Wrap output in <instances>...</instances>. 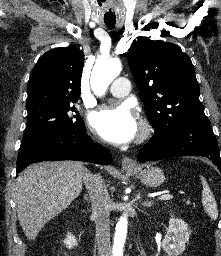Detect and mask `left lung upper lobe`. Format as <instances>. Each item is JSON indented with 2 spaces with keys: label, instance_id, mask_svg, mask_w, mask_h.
I'll use <instances>...</instances> for the list:
<instances>
[{
  "label": "left lung upper lobe",
  "instance_id": "5c2ea615",
  "mask_svg": "<svg viewBox=\"0 0 221 256\" xmlns=\"http://www.w3.org/2000/svg\"><path fill=\"white\" fill-rule=\"evenodd\" d=\"M128 64L155 132L208 120L192 62L179 46L140 39L129 50Z\"/></svg>",
  "mask_w": 221,
  "mask_h": 256
}]
</instances>
